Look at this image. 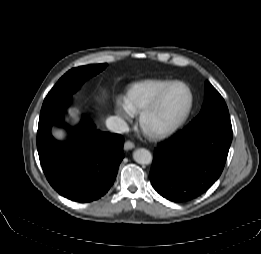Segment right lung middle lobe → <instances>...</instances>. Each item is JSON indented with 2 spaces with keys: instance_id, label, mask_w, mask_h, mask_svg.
<instances>
[{
  "instance_id": "1",
  "label": "right lung middle lobe",
  "mask_w": 261,
  "mask_h": 254,
  "mask_svg": "<svg viewBox=\"0 0 261 254\" xmlns=\"http://www.w3.org/2000/svg\"><path fill=\"white\" fill-rule=\"evenodd\" d=\"M107 64L87 65L69 70L50 90L44 101L57 99L75 93L88 78L98 74Z\"/></svg>"
}]
</instances>
